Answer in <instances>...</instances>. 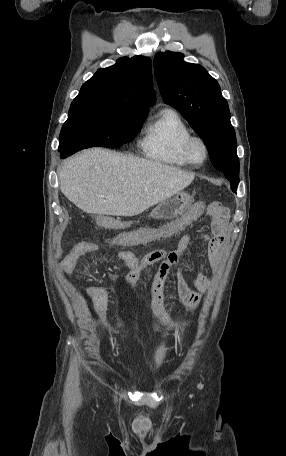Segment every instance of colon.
Segmentation results:
<instances>
[{
    "mask_svg": "<svg viewBox=\"0 0 286 456\" xmlns=\"http://www.w3.org/2000/svg\"><path fill=\"white\" fill-rule=\"evenodd\" d=\"M204 204V203H203ZM209 209L211 210H218L221 208V203L217 201L210 202L208 204Z\"/></svg>",
    "mask_w": 286,
    "mask_h": 456,
    "instance_id": "1",
    "label": "colon"
}]
</instances>
